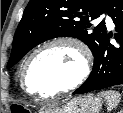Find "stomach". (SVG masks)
<instances>
[{
  "instance_id": "0dacf381",
  "label": "stomach",
  "mask_w": 123,
  "mask_h": 113,
  "mask_svg": "<svg viewBox=\"0 0 123 113\" xmlns=\"http://www.w3.org/2000/svg\"><path fill=\"white\" fill-rule=\"evenodd\" d=\"M102 104L100 96L88 94L42 109L40 113H99Z\"/></svg>"
}]
</instances>
